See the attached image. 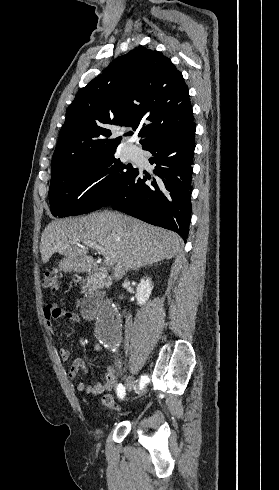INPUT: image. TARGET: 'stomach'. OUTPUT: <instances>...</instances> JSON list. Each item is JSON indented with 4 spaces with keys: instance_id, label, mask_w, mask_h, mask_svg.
<instances>
[{
    "instance_id": "1",
    "label": "stomach",
    "mask_w": 279,
    "mask_h": 490,
    "mask_svg": "<svg viewBox=\"0 0 279 490\" xmlns=\"http://www.w3.org/2000/svg\"><path fill=\"white\" fill-rule=\"evenodd\" d=\"M81 266L82 262H77V260H73V258H63V260L59 262L61 272H80Z\"/></svg>"
}]
</instances>
